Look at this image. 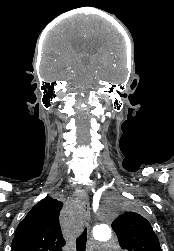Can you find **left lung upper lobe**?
<instances>
[{
  "mask_svg": "<svg viewBox=\"0 0 174 251\" xmlns=\"http://www.w3.org/2000/svg\"><path fill=\"white\" fill-rule=\"evenodd\" d=\"M112 228L120 246L127 251H162L151 224L138 213L121 215L112 223Z\"/></svg>",
  "mask_w": 174,
  "mask_h": 251,
  "instance_id": "left-lung-upper-lobe-1",
  "label": "left lung upper lobe"
}]
</instances>
